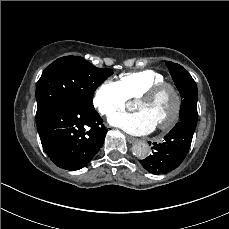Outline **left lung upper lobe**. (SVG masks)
Returning a JSON list of instances; mask_svg holds the SVG:
<instances>
[{
  "instance_id": "5c2ea615",
  "label": "left lung upper lobe",
  "mask_w": 229,
  "mask_h": 229,
  "mask_svg": "<svg viewBox=\"0 0 229 229\" xmlns=\"http://www.w3.org/2000/svg\"><path fill=\"white\" fill-rule=\"evenodd\" d=\"M166 65L170 71L173 81L178 88L182 97L180 108V122L185 121L183 106L186 98L198 97L197 85L191 75L181 65L166 61Z\"/></svg>"
}]
</instances>
